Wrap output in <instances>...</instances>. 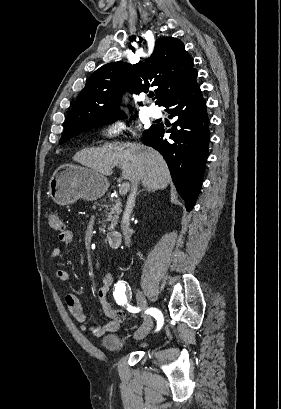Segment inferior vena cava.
<instances>
[{"mask_svg": "<svg viewBox=\"0 0 281 409\" xmlns=\"http://www.w3.org/2000/svg\"><path fill=\"white\" fill-rule=\"evenodd\" d=\"M138 182L139 180H135V182H133V186L131 188V196H136V192H137V188H138ZM121 231H122V235L124 237V241H125V245L126 247H130L131 245V229L129 227V219H125V217H123L122 221H121Z\"/></svg>", "mask_w": 281, "mask_h": 409, "instance_id": "1", "label": "inferior vena cava"}]
</instances>
